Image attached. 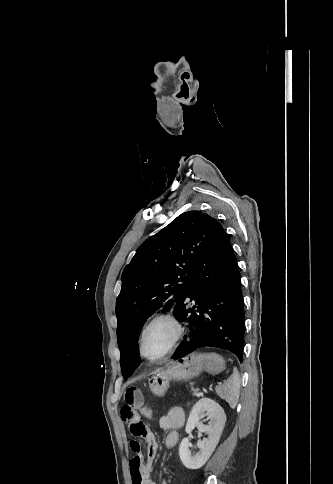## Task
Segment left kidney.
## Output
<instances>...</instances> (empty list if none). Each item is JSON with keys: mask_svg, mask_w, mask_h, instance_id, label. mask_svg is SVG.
<instances>
[{"mask_svg": "<svg viewBox=\"0 0 333 484\" xmlns=\"http://www.w3.org/2000/svg\"><path fill=\"white\" fill-rule=\"evenodd\" d=\"M205 416L209 420L208 425L200 423V419ZM225 422L224 409L212 399L202 398L193 406L185 431L189 434L197 427L199 431L206 433L208 437L197 443L199 451L195 455H192L189 450L190 443L188 438H184L181 441L179 456L186 468L199 469L207 462L219 443Z\"/></svg>", "mask_w": 333, "mask_h": 484, "instance_id": "1", "label": "left kidney"}]
</instances>
